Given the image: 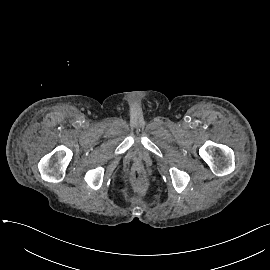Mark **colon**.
<instances>
[{
  "label": "colon",
  "instance_id": "1",
  "mask_svg": "<svg viewBox=\"0 0 270 270\" xmlns=\"http://www.w3.org/2000/svg\"><path fill=\"white\" fill-rule=\"evenodd\" d=\"M133 184L139 190H143L146 188L147 180L143 171L139 170L134 172Z\"/></svg>",
  "mask_w": 270,
  "mask_h": 270
}]
</instances>
